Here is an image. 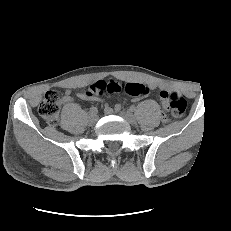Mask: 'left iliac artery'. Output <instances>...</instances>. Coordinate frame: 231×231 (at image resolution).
<instances>
[{
	"instance_id": "44dca946",
	"label": "left iliac artery",
	"mask_w": 231,
	"mask_h": 231,
	"mask_svg": "<svg viewBox=\"0 0 231 231\" xmlns=\"http://www.w3.org/2000/svg\"><path fill=\"white\" fill-rule=\"evenodd\" d=\"M129 110H130L131 112H134V111L136 110V107L132 105V106L129 108Z\"/></svg>"
}]
</instances>
